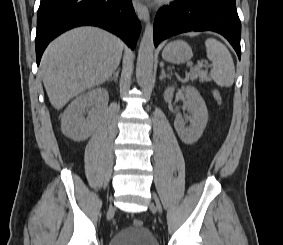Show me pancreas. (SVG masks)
<instances>
[{
	"instance_id": "obj_1",
	"label": "pancreas",
	"mask_w": 283,
	"mask_h": 245,
	"mask_svg": "<svg viewBox=\"0 0 283 245\" xmlns=\"http://www.w3.org/2000/svg\"><path fill=\"white\" fill-rule=\"evenodd\" d=\"M197 78H199V80L201 82L209 80V77L207 76V72L206 71H203V70H193V71H191L190 79L191 80H196Z\"/></svg>"
}]
</instances>
